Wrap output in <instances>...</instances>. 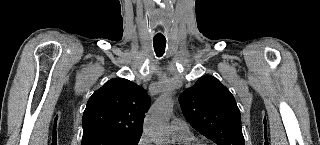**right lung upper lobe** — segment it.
Here are the masks:
<instances>
[{"instance_id": "obj_1", "label": "right lung upper lobe", "mask_w": 320, "mask_h": 145, "mask_svg": "<svg viewBox=\"0 0 320 145\" xmlns=\"http://www.w3.org/2000/svg\"><path fill=\"white\" fill-rule=\"evenodd\" d=\"M150 97L141 87L123 78L106 82L89 99L83 114V138L142 134Z\"/></svg>"}]
</instances>
